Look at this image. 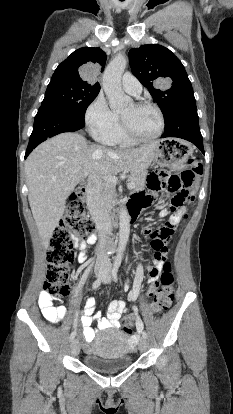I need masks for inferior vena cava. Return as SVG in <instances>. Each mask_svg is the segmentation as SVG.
Returning <instances> with one entry per match:
<instances>
[{
	"instance_id": "1",
	"label": "inferior vena cava",
	"mask_w": 233,
	"mask_h": 414,
	"mask_svg": "<svg viewBox=\"0 0 233 414\" xmlns=\"http://www.w3.org/2000/svg\"><path fill=\"white\" fill-rule=\"evenodd\" d=\"M87 206L90 211V214L92 216L93 221L96 224V228L100 233H103V236L101 237V240L104 241L103 245H101L100 252L98 253V260L97 263L101 265H109L110 259L105 255L108 252H110V246H108L109 236H113L112 234L109 235L107 233H110L111 220L105 205V198H104V191H103V185L101 182V178L98 176H89L88 182H87ZM107 236V237H105ZM108 250H107V248Z\"/></svg>"
}]
</instances>
